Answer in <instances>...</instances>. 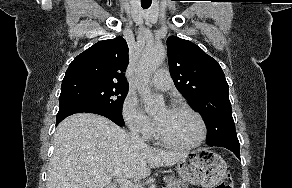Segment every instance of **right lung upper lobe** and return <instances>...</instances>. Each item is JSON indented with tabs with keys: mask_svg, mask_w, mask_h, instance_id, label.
I'll use <instances>...</instances> for the list:
<instances>
[{
	"mask_svg": "<svg viewBox=\"0 0 292 188\" xmlns=\"http://www.w3.org/2000/svg\"><path fill=\"white\" fill-rule=\"evenodd\" d=\"M128 65V46L122 37L99 41L70 63L63 80L92 78L128 85L124 73Z\"/></svg>",
	"mask_w": 292,
	"mask_h": 188,
	"instance_id": "cb5924a9",
	"label": "right lung upper lobe"
}]
</instances>
